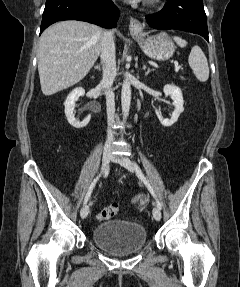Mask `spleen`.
<instances>
[{"instance_id": "spleen-1", "label": "spleen", "mask_w": 240, "mask_h": 287, "mask_svg": "<svg viewBox=\"0 0 240 287\" xmlns=\"http://www.w3.org/2000/svg\"><path fill=\"white\" fill-rule=\"evenodd\" d=\"M173 39L179 47L183 48L187 45V41L181 37L174 36ZM188 62L194 75L200 82H205L208 80L209 67L207 58L199 46L195 45L191 48Z\"/></svg>"}]
</instances>
